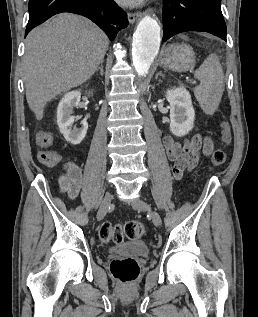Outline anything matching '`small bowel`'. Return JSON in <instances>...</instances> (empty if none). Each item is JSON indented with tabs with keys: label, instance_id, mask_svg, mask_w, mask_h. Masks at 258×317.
Here are the masks:
<instances>
[{
	"label": "small bowel",
	"instance_id": "1",
	"mask_svg": "<svg viewBox=\"0 0 258 317\" xmlns=\"http://www.w3.org/2000/svg\"><path fill=\"white\" fill-rule=\"evenodd\" d=\"M36 143L41 149H47L53 144L50 131L41 130L36 135ZM166 155L173 162V176L179 180L185 172L193 170L203 156H209L214 148L211 137L195 134L182 142L170 135L163 138ZM64 174L60 178V188L70 199L78 196L82 185V172L74 162H66L63 166Z\"/></svg>",
	"mask_w": 258,
	"mask_h": 317
}]
</instances>
